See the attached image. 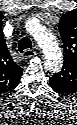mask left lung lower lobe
Returning a JSON list of instances; mask_svg holds the SVG:
<instances>
[{
  "mask_svg": "<svg viewBox=\"0 0 77 125\" xmlns=\"http://www.w3.org/2000/svg\"><path fill=\"white\" fill-rule=\"evenodd\" d=\"M52 88L54 89V88H56L55 86H52ZM57 92H60V91H57ZM60 93H62V92H60Z\"/></svg>",
  "mask_w": 77,
  "mask_h": 125,
  "instance_id": "1",
  "label": "left lung lower lobe"
}]
</instances>
